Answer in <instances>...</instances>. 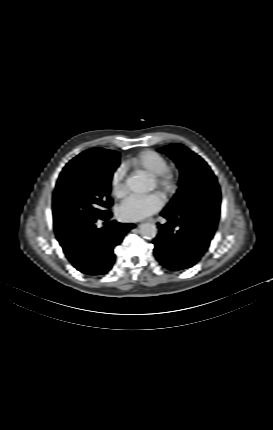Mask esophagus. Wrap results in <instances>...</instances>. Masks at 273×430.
I'll use <instances>...</instances> for the list:
<instances>
[{
    "mask_svg": "<svg viewBox=\"0 0 273 430\" xmlns=\"http://www.w3.org/2000/svg\"><path fill=\"white\" fill-rule=\"evenodd\" d=\"M148 222H150V223H154V220L153 219H149V220H147Z\"/></svg>",
    "mask_w": 273,
    "mask_h": 430,
    "instance_id": "34e87169",
    "label": "esophagus"
}]
</instances>
